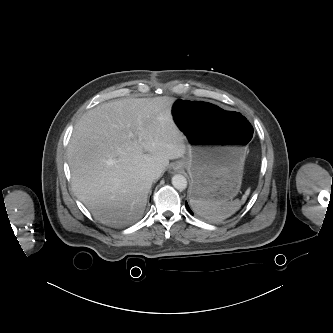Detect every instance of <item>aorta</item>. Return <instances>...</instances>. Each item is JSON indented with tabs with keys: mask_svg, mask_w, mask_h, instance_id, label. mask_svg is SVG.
<instances>
[{
	"mask_svg": "<svg viewBox=\"0 0 333 333\" xmlns=\"http://www.w3.org/2000/svg\"><path fill=\"white\" fill-rule=\"evenodd\" d=\"M172 185L178 190H185L187 187V180L181 174H176L172 177Z\"/></svg>",
	"mask_w": 333,
	"mask_h": 333,
	"instance_id": "obj_1",
	"label": "aorta"
}]
</instances>
